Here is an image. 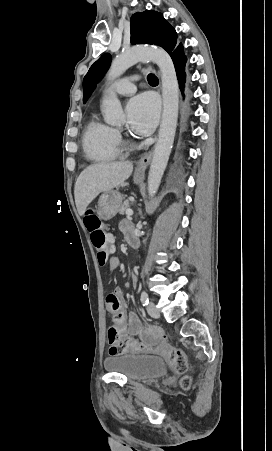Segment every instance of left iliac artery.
Returning a JSON list of instances; mask_svg holds the SVG:
<instances>
[{
    "instance_id": "1",
    "label": "left iliac artery",
    "mask_w": 272,
    "mask_h": 451,
    "mask_svg": "<svg viewBox=\"0 0 272 451\" xmlns=\"http://www.w3.org/2000/svg\"><path fill=\"white\" fill-rule=\"evenodd\" d=\"M141 302H142L143 306H146L149 303V297L145 291L141 292Z\"/></svg>"
}]
</instances>
